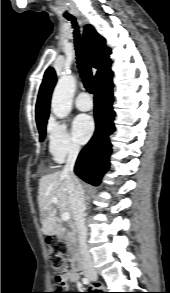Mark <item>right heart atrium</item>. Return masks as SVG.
<instances>
[{
    "instance_id": "right-heart-atrium-1",
    "label": "right heart atrium",
    "mask_w": 170,
    "mask_h": 293,
    "mask_svg": "<svg viewBox=\"0 0 170 293\" xmlns=\"http://www.w3.org/2000/svg\"><path fill=\"white\" fill-rule=\"evenodd\" d=\"M48 151L57 162L76 156L80 150L79 145L71 137L64 122L51 120L47 131Z\"/></svg>"
}]
</instances>
